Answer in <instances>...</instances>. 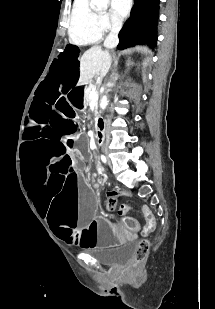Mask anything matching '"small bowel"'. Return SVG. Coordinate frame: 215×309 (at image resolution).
<instances>
[{"label":"small bowel","instance_id":"c3829d8e","mask_svg":"<svg viewBox=\"0 0 215 309\" xmlns=\"http://www.w3.org/2000/svg\"><path fill=\"white\" fill-rule=\"evenodd\" d=\"M146 219H147V222H148L146 230L149 231L154 227V225H153L154 217L151 213L148 212V214L146 215Z\"/></svg>","mask_w":215,"mask_h":309}]
</instances>
